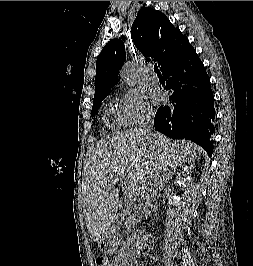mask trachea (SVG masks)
<instances>
[{
    "mask_svg": "<svg viewBox=\"0 0 253 266\" xmlns=\"http://www.w3.org/2000/svg\"><path fill=\"white\" fill-rule=\"evenodd\" d=\"M154 72L160 74L157 64L154 65Z\"/></svg>",
    "mask_w": 253,
    "mask_h": 266,
    "instance_id": "obj_1",
    "label": "trachea"
}]
</instances>
